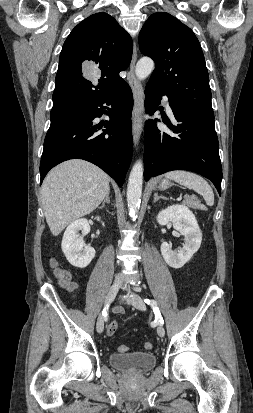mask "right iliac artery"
Instances as JSON below:
<instances>
[{"instance_id": "obj_1", "label": "right iliac artery", "mask_w": 253, "mask_h": 413, "mask_svg": "<svg viewBox=\"0 0 253 413\" xmlns=\"http://www.w3.org/2000/svg\"><path fill=\"white\" fill-rule=\"evenodd\" d=\"M107 314V310L106 308H104V311L102 312V315H106Z\"/></svg>"}]
</instances>
